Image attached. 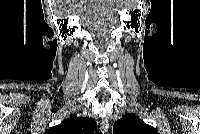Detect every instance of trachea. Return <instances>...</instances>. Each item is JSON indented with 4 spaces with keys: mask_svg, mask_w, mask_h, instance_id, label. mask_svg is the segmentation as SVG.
<instances>
[{
    "mask_svg": "<svg viewBox=\"0 0 200 134\" xmlns=\"http://www.w3.org/2000/svg\"><path fill=\"white\" fill-rule=\"evenodd\" d=\"M96 134H101L100 132H96Z\"/></svg>",
    "mask_w": 200,
    "mask_h": 134,
    "instance_id": "3493384b",
    "label": "trachea"
}]
</instances>
